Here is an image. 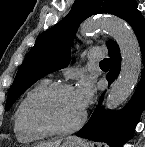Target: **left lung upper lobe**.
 I'll list each match as a JSON object with an SVG mask.
<instances>
[{
    "label": "left lung upper lobe",
    "mask_w": 145,
    "mask_h": 147,
    "mask_svg": "<svg viewBox=\"0 0 145 147\" xmlns=\"http://www.w3.org/2000/svg\"><path fill=\"white\" fill-rule=\"evenodd\" d=\"M132 0H75L70 12L58 24L41 33L20 66L9 89L6 110L31 85L48 73L69 64V47L79 24L87 17L109 13L123 18ZM112 42L109 40L107 46Z\"/></svg>",
    "instance_id": "1"
}]
</instances>
